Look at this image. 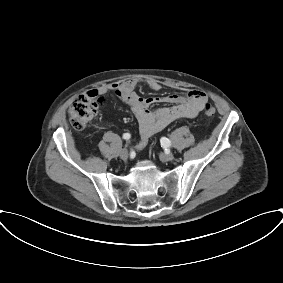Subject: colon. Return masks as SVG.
Returning a JSON list of instances; mask_svg holds the SVG:
<instances>
[{
  "mask_svg": "<svg viewBox=\"0 0 283 283\" xmlns=\"http://www.w3.org/2000/svg\"><path fill=\"white\" fill-rule=\"evenodd\" d=\"M103 103L104 99L93 92L79 96L69 110V119L72 126L76 129L85 128L97 116ZM215 113V107L207 103L204 107V114L207 117H213Z\"/></svg>",
  "mask_w": 283,
  "mask_h": 283,
  "instance_id": "1",
  "label": "colon"
}]
</instances>
